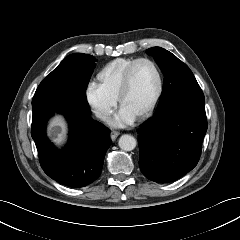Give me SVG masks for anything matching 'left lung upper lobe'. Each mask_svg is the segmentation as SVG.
I'll return each mask as SVG.
<instances>
[{"mask_svg":"<svg viewBox=\"0 0 240 240\" xmlns=\"http://www.w3.org/2000/svg\"><path fill=\"white\" fill-rule=\"evenodd\" d=\"M146 53L154 57L164 73L163 90L155 116L179 102L204 103V94L190 68L171 52L152 47Z\"/></svg>","mask_w":240,"mask_h":240,"instance_id":"left-lung-upper-lobe-1","label":"left lung upper lobe"}]
</instances>
